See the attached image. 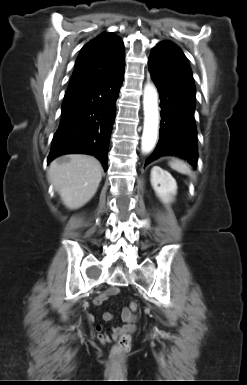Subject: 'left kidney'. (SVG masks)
Masks as SVG:
<instances>
[{
  "instance_id": "5707ae66",
  "label": "left kidney",
  "mask_w": 247,
  "mask_h": 385,
  "mask_svg": "<svg viewBox=\"0 0 247 385\" xmlns=\"http://www.w3.org/2000/svg\"><path fill=\"white\" fill-rule=\"evenodd\" d=\"M151 184L157 196L164 202H170L177 192V183L171 174L159 166L151 170Z\"/></svg>"
}]
</instances>
